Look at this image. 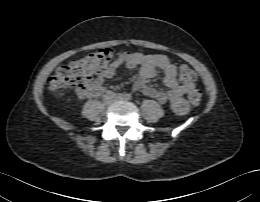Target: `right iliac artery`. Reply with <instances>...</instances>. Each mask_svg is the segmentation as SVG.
<instances>
[{"label":"right iliac artery","mask_w":260,"mask_h":202,"mask_svg":"<svg viewBox=\"0 0 260 202\" xmlns=\"http://www.w3.org/2000/svg\"><path fill=\"white\" fill-rule=\"evenodd\" d=\"M107 95H108V96H113V95H114V92L108 91V92H107Z\"/></svg>","instance_id":"obj_1"}]
</instances>
